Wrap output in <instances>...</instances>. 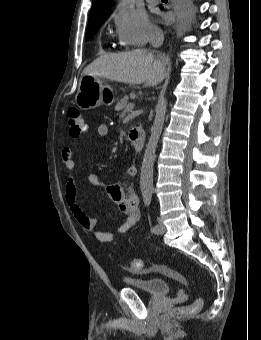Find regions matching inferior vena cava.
Wrapping results in <instances>:
<instances>
[{"mask_svg":"<svg viewBox=\"0 0 261 340\" xmlns=\"http://www.w3.org/2000/svg\"><path fill=\"white\" fill-rule=\"evenodd\" d=\"M164 41V35L163 32L159 29H155L151 35H150V44L154 47V48H158L163 44Z\"/></svg>","mask_w":261,"mask_h":340,"instance_id":"obj_1","label":"inferior vena cava"}]
</instances>
